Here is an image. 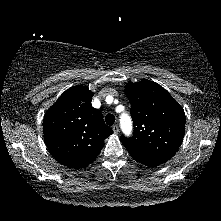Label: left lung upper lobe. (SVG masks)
I'll use <instances>...</instances> for the list:
<instances>
[{
  "mask_svg": "<svg viewBox=\"0 0 221 221\" xmlns=\"http://www.w3.org/2000/svg\"><path fill=\"white\" fill-rule=\"evenodd\" d=\"M125 94L131 103L132 138L121 141L136 161L156 167L174 156L185 132L182 107L159 84L144 79L127 83Z\"/></svg>",
  "mask_w": 221,
  "mask_h": 221,
  "instance_id": "obj_1",
  "label": "left lung upper lobe"
}]
</instances>
